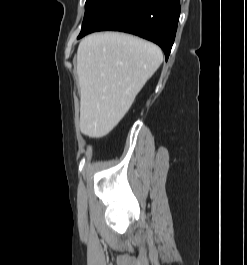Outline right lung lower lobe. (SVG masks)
Listing matches in <instances>:
<instances>
[{
    "mask_svg": "<svg viewBox=\"0 0 247 265\" xmlns=\"http://www.w3.org/2000/svg\"><path fill=\"white\" fill-rule=\"evenodd\" d=\"M179 15V0H100L84 18L78 39L94 31L128 32L158 44L167 60Z\"/></svg>",
    "mask_w": 247,
    "mask_h": 265,
    "instance_id": "98d812e1",
    "label": "right lung lower lobe"
}]
</instances>
